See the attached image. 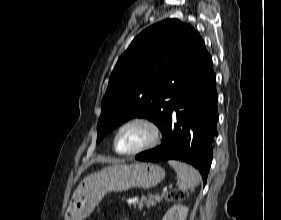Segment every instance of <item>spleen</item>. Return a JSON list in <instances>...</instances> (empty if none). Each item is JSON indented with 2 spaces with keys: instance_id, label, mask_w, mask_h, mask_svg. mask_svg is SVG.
<instances>
[{
  "instance_id": "3e777b00",
  "label": "spleen",
  "mask_w": 281,
  "mask_h": 220,
  "mask_svg": "<svg viewBox=\"0 0 281 220\" xmlns=\"http://www.w3.org/2000/svg\"><path fill=\"white\" fill-rule=\"evenodd\" d=\"M168 163L177 173L180 190L186 191L200 183L201 175L191 165L176 160H169Z\"/></svg>"
}]
</instances>
